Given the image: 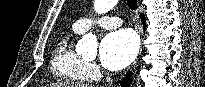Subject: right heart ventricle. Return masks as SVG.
<instances>
[{
  "label": "right heart ventricle",
  "mask_w": 205,
  "mask_h": 87,
  "mask_svg": "<svg viewBox=\"0 0 205 87\" xmlns=\"http://www.w3.org/2000/svg\"><path fill=\"white\" fill-rule=\"evenodd\" d=\"M74 27L63 35L54 47L51 59V71L60 81L83 82L87 79L83 68L85 61L73 48L72 39L80 34Z\"/></svg>",
  "instance_id": "right-heart-ventricle-1"
}]
</instances>
